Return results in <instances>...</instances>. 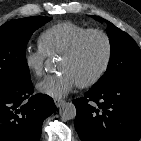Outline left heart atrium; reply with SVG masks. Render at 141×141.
Returning a JSON list of instances; mask_svg holds the SVG:
<instances>
[{
  "label": "left heart atrium",
  "mask_w": 141,
  "mask_h": 141,
  "mask_svg": "<svg viewBox=\"0 0 141 141\" xmlns=\"http://www.w3.org/2000/svg\"><path fill=\"white\" fill-rule=\"evenodd\" d=\"M76 85L77 81L72 74L62 70L45 77L36 87L40 93L59 99L69 94Z\"/></svg>",
  "instance_id": "obj_1"
}]
</instances>
